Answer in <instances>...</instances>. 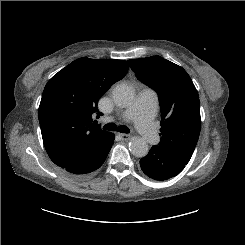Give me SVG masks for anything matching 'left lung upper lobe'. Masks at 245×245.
<instances>
[{"instance_id":"1","label":"left lung upper lobe","mask_w":245,"mask_h":245,"mask_svg":"<svg viewBox=\"0 0 245 245\" xmlns=\"http://www.w3.org/2000/svg\"><path fill=\"white\" fill-rule=\"evenodd\" d=\"M131 69L159 96L161 141L158 147L188 163L201 128L198 92L180 66L160 56L128 60Z\"/></svg>"}]
</instances>
